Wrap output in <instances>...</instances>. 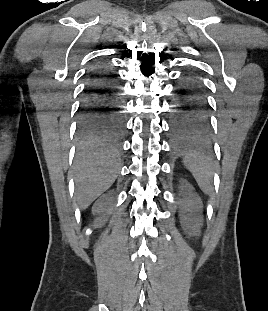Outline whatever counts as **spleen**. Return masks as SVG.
Returning <instances> with one entry per match:
<instances>
[{
  "instance_id": "spleen-1",
  "label": "spleen",
  "mask_w": 268,
  "mask_h": 311,
  "mask_svg": "<svg viewBox=\"0 0 268 311\" xmlns=\"http://www.w3.org/2000/svg\"><path fill=\"white\" fill-rule=\"evenodd\" d=\"M184 164L193 174L201 190L209 193L212 190L213 168L208 158L200 154H189L184 159Z\"/></svg>"
}]
</instances>
